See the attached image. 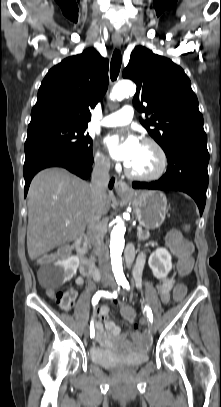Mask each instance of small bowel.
Instances as JSON below:
<instances>
[{"instance_id":"small-bowel-1","label":"small bowel","mask_w":221,"mask_h":407,"mask_svg":"<svg viewBox=\"0 0 221 407\" xmlns=\"http://www.w3.org/2000/svg\"><path fill=\"white\" fill-rule=\"evenodd\" d=\"M144 264H145V254H140L137 258V261H136V264L134 267V271H133L134 280L138 287L141 286L142 272H143ZM76 282H77V284L81 285V284H83L84 281H83V278L79 277V278H77ZM175 284H176L175 277L170 276L157 285L159 295L161 297V300L164 303H167L170 300L171 287H172V285H175ZM68 293L75 300V298L77 296L76 291L70 290V291H68ZM112 298H114L113 299L114 304L119 307L121 305H128L124 301H122L118 298H115V297H112ZM98 316L101 318L102 321H97L95 323L94 329H95L96 336H97V342L101 346H103V347L109 346L112 343L113 339H115V338H121V340H124V335L122 334L120 326H118L114 321H112L109 318V307L108 306H106V305L101 306L98 309ZM142 335H143V333L140 330H136L133 333V336L135 339H141Z\"/></svg>"}]
</instances>
